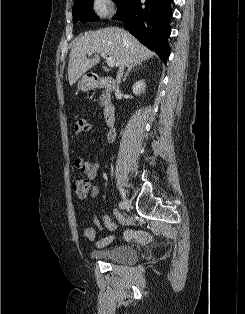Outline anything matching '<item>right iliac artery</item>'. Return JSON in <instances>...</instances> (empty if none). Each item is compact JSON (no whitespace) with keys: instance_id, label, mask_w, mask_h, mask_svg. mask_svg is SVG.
Listing matches in <instances>:
<instances>
[{"instance_id":"82829eb1","label":"right iliac artery","mask_w":245,"mask_h":314,"mask_svg":"<svg viewBox=\"0 0 245 314\" xmlns=\"http://www.w3.org/2000/svg\"><path fill=\"white\" fill-rule=\"evenodd\" d=\"M120 193L124 196V191H123V189H120ZM120 206H121V208H122V204H121Z\"/></svg>"}]
</instances>
